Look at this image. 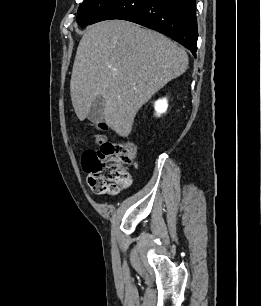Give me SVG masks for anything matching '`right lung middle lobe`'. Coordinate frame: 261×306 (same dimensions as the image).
I'll list each match as a JSON object with an SVG mask.
<instances>
[{"label":"right lung middle lobe","instance_id":"dd1d6c3e","mask_svg":"<svg viewBox=\"0 0 261 306\" xmlns=\"http://www.w3.org/2000/svg\"><path fill=\"white\" fill-rule=\"evenodd\" d=\"M114 0H84L78 9L77 22L81 27L89 25Z\"/></svg>","mask_w":261,"mask_h":306}]
</instances>
